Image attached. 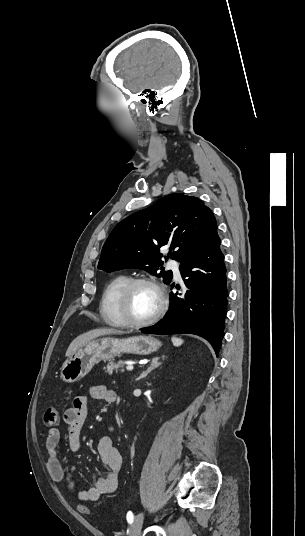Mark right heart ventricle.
Returning <instances> with one entry per match:
<instances>
[{
	"mask_svg": "<svg viewBox=\"0 0 305 536\" xmlns=\"http://www.w3.org/2000/svg\"><path fill=\"white\" fill-rule=\"evenodd\" d=\"M128 281L129 277L127 275L119 274L107 283L102 292L99 313L101 319L110 326H124L123 319L118 311V296Z\"/></svg>",
	"mask_w": 305,
	"mask_h": 536,
	"instance_id": "right-heart-ventricle-1",
	"label": "right heart ventricle"
}]
</instances>
